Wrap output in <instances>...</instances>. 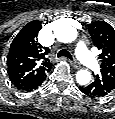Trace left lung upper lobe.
<instances>
[{
  "label": "left lung upper lobe",
  "instance_id": "obj_1",
  "mask_svg": "<svg viewBox=\"0 0 115 119\" xmlns=\"http://www.w3.org/2000/svg\"><path fill=\"white\" fill-rule=\"evenodd\" d=\"M88 29L94 45L101 50L100 73L115 80V30L104 21H95Z\"/></svg>",
  "mask_w": 115,
  "mask_h": 119
}]
</instances>
